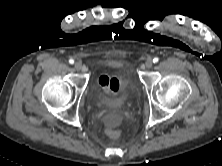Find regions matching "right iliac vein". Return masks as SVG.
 <instances>
[{
    "label": "right iliac vein",
    "mask_w": 222,
    "mask_h": 166,
    "mask_svg": "<svg viewBox=\"0 0 222 166\" xmlns=\"http://www.w3.org/2000/svg\"><path fill=\"white\" fill-rule=\"evenodd\" d=\"M74 68H75L76 70H81L82 64H81L80 62H76V63L74 64Z\"/></svg>",
    "instance_id": "right-iliac-vein-1"
}]
</instances>
